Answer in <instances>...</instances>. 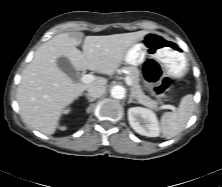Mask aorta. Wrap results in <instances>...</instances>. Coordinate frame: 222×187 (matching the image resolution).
I'll return each instance as SVG.
<instances>
[{"instance_id": "762f6f07", "label": "aorta", "mask_w": 222, "mask_h": 187, "mask_svg": "<svg viewBox=\"0 0 222 187\" xmlns=\"http://www.w3.org/2000/svg\"><path fill=\"white\" fill-rule=\"evenodd\" d=\"M111 96L114 98V99H123L125 97V89L122 87V86H114L112 89H111Z\"/></svg>"}]
</instances>
